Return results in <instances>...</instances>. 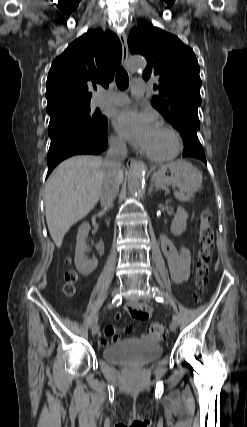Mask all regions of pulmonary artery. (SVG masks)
<instances>
[{
  "mask_svg": "<svg viewBox=\"0 0 247 427\" xmlns=\"http://www.w3.org/2000/svg\"><path fill=\"white\" fill-rule=\"evenodd\" d=\"M146 91V84L143 81H137L132 87V93L135 96H141ZM129 102V99L126 95L123 94H112L102 97L99 101L101 106H121Z\"/></svg>",
  "mask_w": 247,
  "mask_h": 427,
  "instance_id": "obj_1",
  "label": "pulmonary artery"
}]
</instances>
